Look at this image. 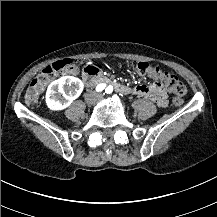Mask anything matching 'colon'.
Returning <instances> with one entry per match:
<instances>
[{
    "instance_id": "5ec220e1",
    "label": "colon",
    "mask_w": 217,
    "mask_h": 217,
    "mask_svg": "<svg viewBox=\"0 0 217 217\" xmlns=\"http://www.w3.org/2000/svg\"><path fill=\"white\" fill-rule=\"evenodd\" d=\"M135 73L138 75H148L158 80V88H168L173 94H178V97H173L172 101L176 105L183 103L184 98H179V95L187 94L188 90L186 85L174 74H171L165 70L159 68H149L148 63L138 61L135 64ZM78 71V64L74 58L69 57L64 60L55 61L50 64L49 68H41L38 71V75L29 84L25 95V104L33 107L38 103L39 95L43 90V86H46L49 81H56L61 76L75 74ZM158 97V94H152Z\"/></svg>"
}]
</instances>
